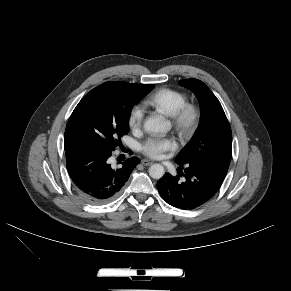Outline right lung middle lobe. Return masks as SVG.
Segmentation results:
<instances>
[{"label":"right lung middle lobe","instance_id":"dd1d6c3e","mask_svg":"<svg viewBox=\"0 0 291 291\" xmlns=\"http://www.w3.org/2000/svg\"><path fill=\"white\" fill-rule=\"evenodd\" d=\"M154 85H138L133 91L114 96L110 86L96 87L74 109L64 135L65 151L76 147L114 150L128 133L133 106Z\"/></svg>","mask_w":291,"mask_h":291}]
</instances>
